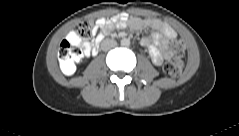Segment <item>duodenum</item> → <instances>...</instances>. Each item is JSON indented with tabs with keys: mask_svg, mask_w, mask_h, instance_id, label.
<instances>
[{
	"mask_svg": "<svg viewBox=\"0 0 239 136\" xmlns=\"http://www.w3.org/2000/svg\"><path fill=\"white\" fill-rule=\"evenodd\" d=\"M102 39H103V35L102 34L97 37V39L95 41V45L92 48V53L93 54H96L98 52L99 44H100Z\"/></svg>",
	"mask_w": 239,
	"mask_h": 136,
	"instance_id": "1",
	"label": "duodenum"
}]
</instances>
